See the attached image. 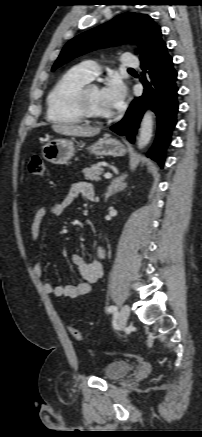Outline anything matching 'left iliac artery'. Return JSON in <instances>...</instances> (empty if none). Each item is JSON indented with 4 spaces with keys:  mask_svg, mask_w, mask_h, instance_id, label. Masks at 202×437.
Masks as SVG:
<instances>
[{
    "mask_svg": "<svg viewBox=\"0 0 202 437\" xmlns=\"http://www.w3.org/2000/svg\"><path fill=\"white\" fill-rule=\"evenodd\" d=\"M108 312H115V311H117V307L116 306H109V307H107V309H106Z\"/></svg>",
    "mask_w": 202,
    "mask_h": 437,
    "instance_id": "1",
    "label": "left iliac artery"
}]
</instances>
